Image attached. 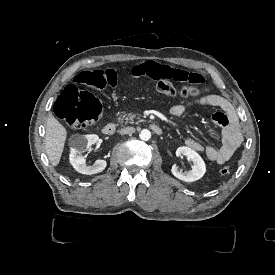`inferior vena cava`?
<instances>
[{"label":"inferior vena cava","mask_w":275,"mask_h":275,"mask_svg":"<svg viewBox=\"0 0 275 275\" xmlns=\"http://www.w3.org/2000/svg\"><path fill=\"white\" fill-rule=\"evenodd\" d=\"M136 131V129L134 127H124L120 130H118V133L124 135V134H133Z\"/></svg>","instance_id":"obj_1"}]
</instances>
